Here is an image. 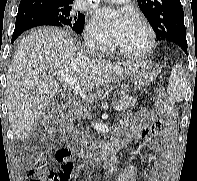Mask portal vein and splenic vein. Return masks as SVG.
<instances>
[{
    "label": "portal vein and splenic vein",
    "instance_id": "18ae733b",
    "mask_svg": "<svg viewBox=\"0 0 197 181\" xmlns=\"http://www.w3.org/2000/svg\"><path fill=\"white\" fill-rule=\"evenodd\" d=\"M54 75L59 78L60 80L66 82L68 85L72 87V89L78 94L82 99L86 100L88 103H91L88 99L87 95L84 93V91L81 89L79 84V79L76 76H71L69 74H66L62 71H56L54 72ZM115 109L117 111H121L123 109L122 104H118Z\"/></svg>",
    "mask_w": 197,
    "mask_h": 181
}]
</instances>
